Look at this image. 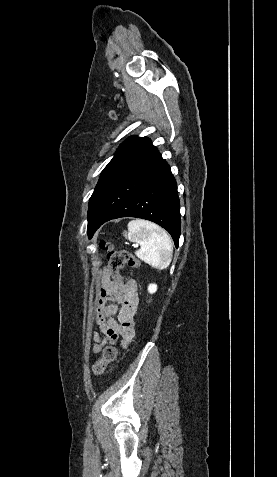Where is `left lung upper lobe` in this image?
<instances>
[{"label":"left lung upper lobe","mask_w":277,"mask_h":477,"mask_svg":"<svg viewBox=\"0 0 277 477\" xmlns=\"http://www.w3.org/2000/svg\"><path fill=\"white\" fill-rule=\"evenodd\" d=\"M149 141L150 139L147 137L138 138L136 136H131L120 145V147L118 148L112 160L108 163V165L102 171L101 177L89 200L88 220L90 219V217L92 216L94 212L97 199L102 189L104 188L105 183L109 179V177L115 172V170L121 164H123L131 155H133L137 150H139L142 146L147 144Z\"/></svg>","instance_id":"1"}]
</instances>
